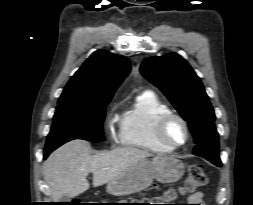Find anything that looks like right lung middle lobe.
Listing matches in <instances>:
<instances>
[{"label": "right lung middle lobe", "instance_id": "obj_1", "mask_svg": "<svg viewBox=\"0 0 253 205\" xmlns=\"http://www.w3.org/2000/svg\"><path fill=\"white\" fill-rule=\"evenodd\" d=\"M111 99L97 103H58L45 150H54L73 140L104 141L105 106Z\"/></svg>", "mask_w": 253, "mask_h": 205}]
</instances>
